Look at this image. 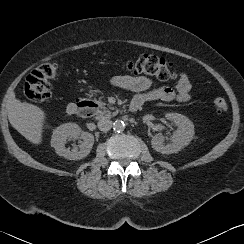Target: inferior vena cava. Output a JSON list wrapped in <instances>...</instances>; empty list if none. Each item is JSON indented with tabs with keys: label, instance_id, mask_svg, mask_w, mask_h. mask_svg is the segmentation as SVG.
I'll return each instance as SVG.
<instances>
[{
	"label": "inferior vena cava",
	"instance_id": "602c4592",
	"mask_svg": "<svg viewBox=\"0 0 244 244\" xmlns=\"http://www.w3.org/2000/svg\"><path fill=\"white\" fill-rule=\"evenodd\" d=\"M97 125L101 131L106 132L111 129L112 121L108 118H102L98 121Z\"/></svg>",
	"mask_w": 244,
	"mask_h": 244
}]
</instances>
